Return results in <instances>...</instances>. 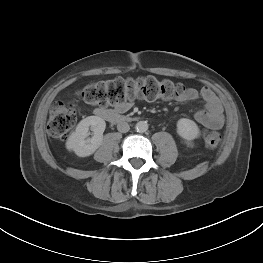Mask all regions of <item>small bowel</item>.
<instances>
[{
  "label": "small bowel",
  "mask_w": 263,
  "mask_h": 263,
  "mask_svg": "<svg viewBox=\"0 0 263 263\" xmlns=\"http://www.w3.org/2000/svg\"><path fill=\"white\" fill-rule=\"evenodd\" d=\"M198 98L204 101V108L195 112V120L201 125L211 129L220 128L224 124L223 108L218 97L210 88L203 87L200 91L194 88H188L185 93L179 97L182 102H190ZM131 105V101L118 105L116 107V112H126ZM100 110L102 109H98L96 113Z\"/></svg>",
  "instance_id": "small-bowel-1"
}]
</instances>
